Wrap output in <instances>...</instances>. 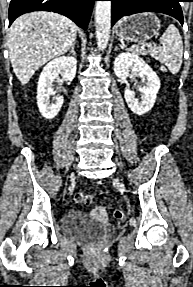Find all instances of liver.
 Masks as SVG:
<instances>
[{
  "instance_id": "1",
  "label": "liver",
  "mask_w": 193,
  "mask_h": 287,
  "mask_svg": "<svg viewBox=\"0 0 193 287\" xmlns=\"http://www.w3.org/2000/svg\"><path fill=\"white\" fill-rule=\"evenodd\" d=\"M77 30L69 18L53 12L38 11L17 18L8 32V49L21 84L26 85L50 59L65 54L74 43Z\"/></svg>"
}]
</instances>
